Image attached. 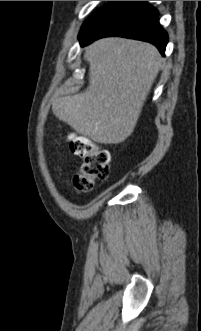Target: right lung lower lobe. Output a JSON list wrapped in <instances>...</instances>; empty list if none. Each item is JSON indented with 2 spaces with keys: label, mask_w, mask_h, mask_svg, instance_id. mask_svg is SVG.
<instances>
[{
  "label": "right lung lower lobe",
  "mask_w": 201,
  "mask_h": 331,
  "mask_svg": "<svg viewBox=\"0 0 201 331\" xmlns=\"http://www.w3.org/2000/svg\"><path fill=\"white\" fill-rule=\"evenodd\" d=\"M120 36L149 42L164 55L168 35L159 24L157 10L146 1H116L87 31L81 46L96 39Z\"/></svg>",
  "instance_id": "98d812e1"
}]
</instances>
